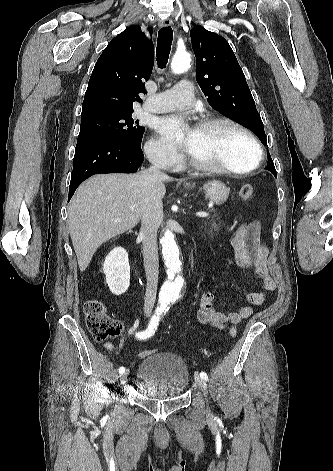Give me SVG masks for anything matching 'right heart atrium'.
Instances as JSON below:
<instances>
[{"instance_id": "1", "label": "right heart atrium", "mask_w": 333, "mask_h": 471, "mask_svg": "<svg viewBox=\"0 0 333 471\" xmlns=\"http://www.w3.org/2000/svg\"><path fill=\"white\" fill-rule=\"evenodd\" d=\"M145 152L154 165L165 170L176 169L183 162V156L176 149L156 137L146 143Z\"/></svg>"}]
</instances>
